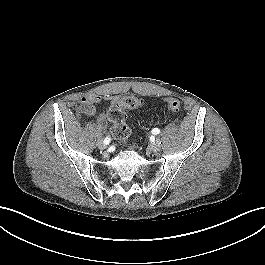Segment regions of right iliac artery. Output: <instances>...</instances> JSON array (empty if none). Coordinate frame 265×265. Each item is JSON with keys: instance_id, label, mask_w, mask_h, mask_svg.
<instances>
[{"instance_id": "82829eb1", "label": "right iliac artery", "mask_w": 265, "mask_h": 265, "mask_svg": "<svg viewBox=\"0 0 265 265\" xmlns=\"http://www.w3.org/2000/svg\"><path fill=\"white\" fill-rule=\"evenodd\" d=\"M104 144H109L110 143V138H105L104 141H103Z\"/></svg>"}]
</instances>
